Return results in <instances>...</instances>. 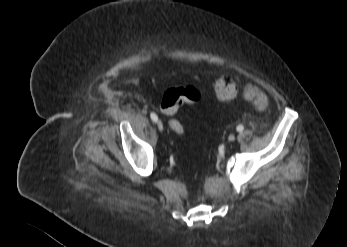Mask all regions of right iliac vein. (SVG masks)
<instances>
[{
  "label": "right iliac vein",
  "mask_w": 347,
  "mask_h": 247,
  "mask_svg": "<svg viewBox=\"0 0 347 247\" xmlns=\"http://www.w3.org/2000/svg\"><path fill=\"white\" fill-rule=\"evenodd\" d=\"M157 128L160 130V131H163L164 130V126H163V123L161 121H158L157 122Z\"/></svg>",
  "instance_id": "right-iliac-vein-1"
}]
</instances>
